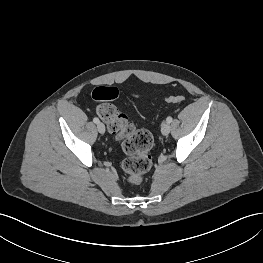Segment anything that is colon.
I'll return each mask as SVG.
<instances>
[{"label": "colon", "mask_w": 263, "mask_h": 263, "mask_svg": "<svg viewBox=\"0 0 263 263\" xmlns=\"http://www.w3.org/2000/svg\"><path fill=\"white\" fill-rule=\"evenodd\" d=\"M117 97L115 87L99 86L92 91V99L98 103L97 115L105 122L115 139L121 142L122 150L127 156L121 165L126 181L132 185H140L152 166L150 151L153 137L148 130L137 128L126 114L111 103ZM184 100L182 95L167 98L172 104H180Z\"/></svg>", "instance_id": "obj_1"}]
</instances>
